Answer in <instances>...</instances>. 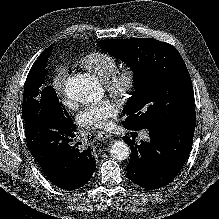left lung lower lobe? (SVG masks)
<instances>
[{"mask_svg":"<svg viewBox=\"0 0 219 219\" xmlns=\"http://www.w3.org/2000/svg\"><path fill=\"white\" fill-rule=\"evenodd\" d=\"M128 130H134L123 122ZM195 122L183 123L163 130H150V140L137 145L129 137L132 151L127 173L131 181L145 189L168 185L181 171L191 151Z\"/></svg>","mask_w":219,"mask_h":219,"instance_id":"left-lung-lower-lobe-1","label":"left lung lower lobe"}]
</instances>
